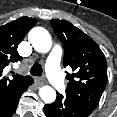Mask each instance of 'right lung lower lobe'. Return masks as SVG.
<instances>
[{
	"label": "right lung lower lobe",
	"instance_id": "obj_1",
	"mask_svg": "<svg viewBox=\"0 0 117 117\" xmlns=\"http://www.w3.org/2000/svg\"><path fill=\"white\" fill-rule=\"evenodd\" d=\"M34 83V80L32 79L27 86L22 90V92L15 97L4 109L0 111V117H11L14 112L16 111L19 99L24 91L27 90V88Z\"/></svg>",
	"mask_w": 117,
	"mask_h": 117
}]
</instances>
